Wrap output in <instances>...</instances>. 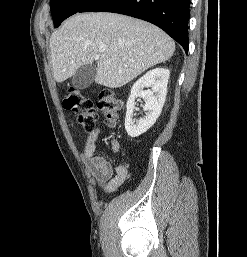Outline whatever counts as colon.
I'll list each match as a JSON object with an SVG mask.
<instances>
[{
    "label": "colon",
    "instance_id": "5ec220e1",
    "mask_svg": "<svg viewBox=\"0 0 247 257\" xmlns=\"http://www.w3.org/2000/svg\"><path fill=\"white\" fill-rule=\"evenodd\" d=\"M63 105L76 114L78 124L86 131L94 128L99 112L108 122L112 123L118 118L121 111L120 100L109 89H103L98 93L97 108H95L90 98L80 90L70 87L63 100Z\"/></svg>",
    "mask_w": 247,
    "mask_h": 257
}]
</instances>
